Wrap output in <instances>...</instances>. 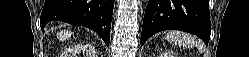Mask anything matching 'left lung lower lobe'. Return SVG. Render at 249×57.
<instances>
[{
	"label": "left lung lower lobe",
	"instance_id": "left-lung-lower-lobe-1",
	"mask_svg": "<svg viewBox=\"0 0 249 57\" xmlns=\"http://www.w3.org/2000/svg\"><path fill=\"white\" fill-rule=\"evenodd\" d=\"M181 30L209 42L211 23L208 0H149L140 43L162 30Z\"/></svg>",
	"mask_w": 249,
	"mask_h": 57
}]
</instances>
